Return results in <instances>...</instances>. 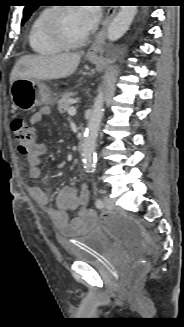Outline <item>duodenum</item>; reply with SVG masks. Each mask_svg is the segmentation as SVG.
I'll return each mask as SVG.
<instances>
[{
  "instance_id": "1",
  "label": "duodenum",
  "mask_w": 184,
  "mask_h": 327,
  "mask_svg": "<svg viewBox=\"0 0 184 327\" xmlns=\"http://www.w3.org/2000/svg\"><path fill=\"white\" fill-rule=\"evenodd\" d=\"M85 143H86V138L85 136L83 135V133L80 135V138H79V144H78V150L80 152H82L84 150V147H85Z\"/></svg>"
}]
</instances>
